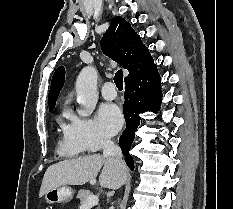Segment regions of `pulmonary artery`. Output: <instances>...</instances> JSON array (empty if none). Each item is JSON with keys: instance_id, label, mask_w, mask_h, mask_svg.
<instances>
[{"instance_id": "1", "label": "pulmonary artery", "mask_w": 233, "mask_h": 209, "mask_svg": "<svg viewBox=\"0 0 233 209\" xmlns=\"http://www.w3.org/2000/svg\"><path fill=\"white\" fill-rule=\"evenodd\" d=\"M101 94L107 100L115 99L117 92L112 82H105L101 87Z\"/></svg>"}]
</instances>
